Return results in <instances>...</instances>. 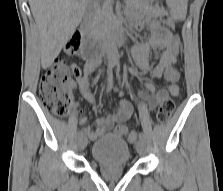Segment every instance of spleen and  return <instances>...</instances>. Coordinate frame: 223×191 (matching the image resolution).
Wrapping results in <instances>:
<instances>
[{
    "instance_id": "obj_1",
    "label": "spleen",
    "mask_w": 223,
    "mask_h": 191,
    "mask_svg": "<svg viewBox=\"0 0 223 191\" xmlns=\"http://www.w3.org/2000/svg\"><path fill=\"white\" fill-rule=\"evenodd\" d=\"M171 8L172 16L178 20H184L187 14V0H167Z\"/></svg>"
}]
</instances>
